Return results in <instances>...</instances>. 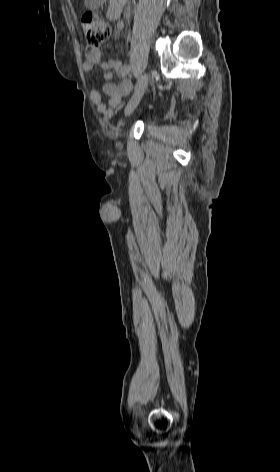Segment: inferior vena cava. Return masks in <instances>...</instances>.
Masks as SVG:
<instances>
[{"instance_id": "602c4592", "label": "inferior vena cava", "mask_w": 280, "mask_h": 472, "mask_svg": "<svg viewBox=\"0 0 280 472\" xmlns=\"http://www.w3.org/2000/svg\"><path fill=\"white\" fill-rule=\"evenodd\" d=\"M129 15H130V12H129V10H128L127 13H126V17L128 18Z\"/></svg>"}]
</instances>
